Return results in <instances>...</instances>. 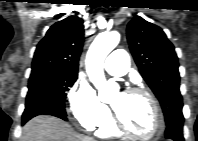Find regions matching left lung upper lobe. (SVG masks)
I'll list each match as a JSON object with an SVG mask.
<instances>
[{
	"mask_svg": "<svg viewBox=\"0 0 198 141\" xmlns=\"http://www.w3.org/2000/svg\"><path fill=\"white\" fill-rule=\"evenodd\" d=\"M127 39L142 77L160 101L167 127L173 121L183 122L179 65L172 43L160 27L139 16L129 22Z\"/></svg>",
	"mask_w": 198,
	"mask_h": 141,
	"instance_id": "5c2ea615",
	"label": "left lung upper lobe"
}]
</instances>
